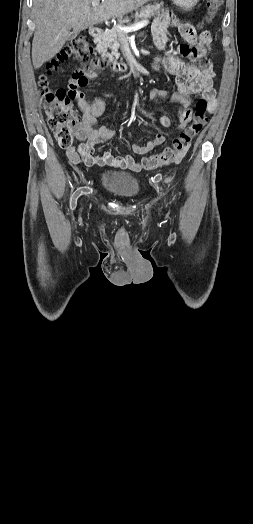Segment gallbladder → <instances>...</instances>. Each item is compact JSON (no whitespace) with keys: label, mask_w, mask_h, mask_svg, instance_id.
I'll list each match as a JSON object with an SVG mask.
<instances>
[{"label":"gallbladder","mask_w":253,"mask_h":524,"mask_svg":"<svg viewBox=\"0 0 253 524\" xmlns=\"http://www.w3.org/2000/svg\"><path fill=\"white\" fill-rule=\"evenodd\" d=\"M77 33H78V31L73 32V33L70 35V37H69L68 40H72V39H74V38L76 37Z\"/></svg>","instance_id":"1"}]
</instances>
